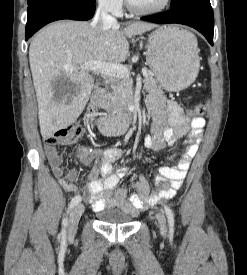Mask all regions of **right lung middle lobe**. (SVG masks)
<instances>
[{"instance_id": "right-lung-middle-lobe-1", "label": "right lung middle lobe", "mask_w": 247, "mask_h": 275, "mask_svg": "<svg viewBox=\"0 0 247 275\" xmlns=\"http://www.w3.org/2000/svg\"><path fill=\"white\" fill-rule=\"evenodd\" d=\"M40 1H44V0H28V4L31 5V4L40 2ZM74 1L81 2V3H92V4H94L96 0H74Z\"/></svg>"}]
</instances>
